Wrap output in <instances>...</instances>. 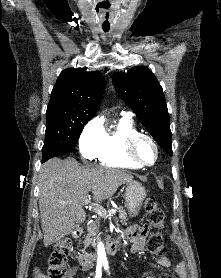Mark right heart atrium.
Masks as SVG:
<instances>
[{
    "label": "right heart atrium",
    "instance_id": "1",
    "mask_svg": "<svg viewBox=\"0 0 221 278\" xmlns=\"http://www.w3.org/2000/svg\"><path fill=\"white\" fill-rule=\"evenodd\" d=\"M105 135L102 120L95 117L90 120L83 128L79 137V151L86 160L96 158Z\"/></svg>",
    "mask_w": 221,
    "mask_h": 278
}]
</instances>
